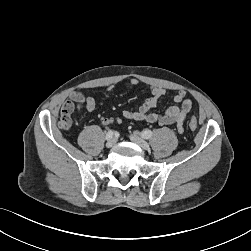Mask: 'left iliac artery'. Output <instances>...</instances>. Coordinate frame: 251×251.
Listing matches in <instances>:
<instances>
[{"instance_id":"44dca946","label":"left iliac artery","mask_w":251,"mask_h":251,"mask_svg":"<svg viewBox=\"0 0 251 251\" xmlns=\"http://www.w3.org/2000/svg\"><path fill=\"white\" fill-rule=\"evenodd\" d=\"M141 136L144 139H149L152 136V131L149 130V129H146V130L141 132Z\"/></svg>"}]
</instances>
